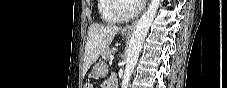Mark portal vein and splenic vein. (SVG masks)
<instances>
[{
  "mask_svg": "<svg viewBox=\"0 0 227 88\" xmlns=\"http://www.w3.org/2000/svg\"><path fill=\"white\" fill-rule=\"evenodd\" d=\"M113 60H114V56L111 55V56H110V61H113Z\"/></svg>",
  "mask_w": 227,
  "mask_h": 88,
  "instance_id": "1",
  "label": "portal vein and splenic vein"
}]
</instances>
